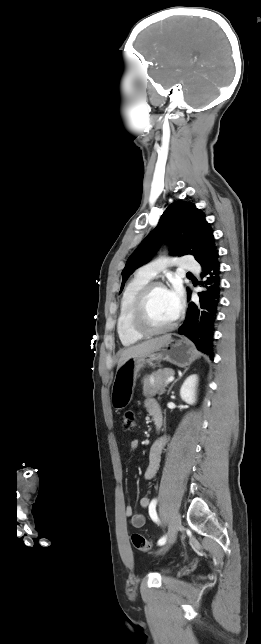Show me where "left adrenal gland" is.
<instances>
[{"label": "left adrenal gland", "mask_w": 261, "mask_h": 644, "mask_svg": "<svg viewBox=\"0 0 261 644\" xmlns=\"http://www.w3.org/2000/svg\"><path fill=\"white\" fill-rule=\"evenodd\" d=\"M186 371H187V370H185V371L183 372V374H182L179 378H177L176 380H174V382L171 384L170 388L168 389L167 394H169V393H170V391H171L172 387L174 386V384H175V383H176V382H177V381H178V380H179V379H180V378H181V377L186 373Z\"/></svg>", "instance_id": "1"}]
</instances>
